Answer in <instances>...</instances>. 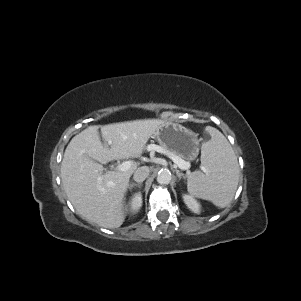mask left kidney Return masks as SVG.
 <instances>
[{"instance_id": "5707ae66", "label": "left kidney", "mask_w": 301, "mask_h": 301, "mask_svg": "<svg viewBox=\"0 0 301 301\" xmlns=\"http://www.w3.org/2000/svg\"><path fill=\"white\" fill-rule=\"evenodd\" d=\"M184 202L187 205V207L192 210L195 213H198L200 211V205L199 203L190 195H184L183 196Z\"/></svg>"}]
</instances>
